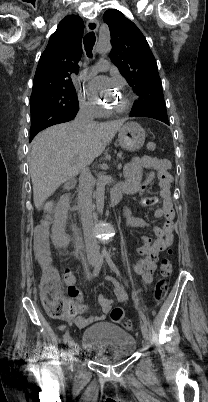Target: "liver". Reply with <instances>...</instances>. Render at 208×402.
Instances as JSON below:
<instances>
[{
	"label": "liver",
	"instance_id": "obj_1",
	"mask_svg": "<svg viewBox=\"0 0 208 402\" xmlns=\"http://www.w3.org/2000/svg\"><path fill=\"white\" fill-rule=\"evenodd\" d=\"M124 122H93L85 128L58 124L38 134L32 142L29 162L35 208L42 210L61 184L77 176L81 162L91 164L98 158Z\"/></svg>",
	"mask_w": 208,
	"mask_h": 402
}]
</instances>
